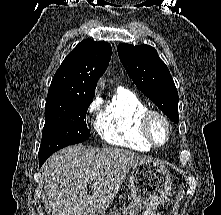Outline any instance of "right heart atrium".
<instances>
[{
  "instance_id": "obj_1",
  "label": "right heart atrium",
  "mask_w": 221,
  "mask_h": 215,
  "mask_svg": "<svg viewBox=\"0 0 221 215\" xmlns=\"http://www.w3.org/2000/svg\"><path fill=\"white\" fill-rule=\"evenodd\" d=\"M100 107V102L96 99L88 107L89 113H95Z\"/></svg>"
}]
</instances>
